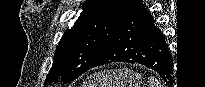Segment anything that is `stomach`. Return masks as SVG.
I'll return each instance as SVG.
<instances>
[{
	"mask_svg": "<svg viewBox=\"0 0 205 87\" xmlns=\"http://www.w3.org/2000/svg\"><path fill=\"white\" fill-rule=\"evenodd\" d=\"M142 76L130 69L107 70L90 76L83 87H142Z\"/></svg>",
	"mask_w": 205,
	"mask_h": 87,
	"instance_id": "obj_1",
	"label": "stomach"
}]
</instances>
